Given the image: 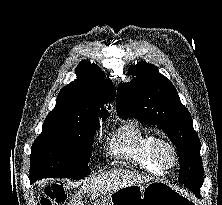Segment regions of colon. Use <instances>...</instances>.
<instances>
[{
    "mask_svg": "<svg viewBox=\"0 0 222 205\" xmlns=\"http://www.w3.org/2000/svg\"><path fill=\"white\" fill-rule=\"evenodd\" d=\"M65 200L64 190L60 185L48 186L41 199V205H61Z\"/></svg>",
    "mask_w": 222,
    "mask_h": 205,
    "instance_id": "1",
    "label": "colon"
}]
</instances>
